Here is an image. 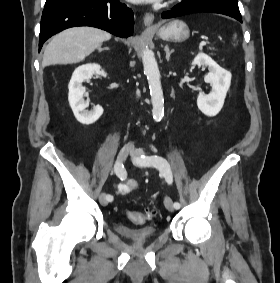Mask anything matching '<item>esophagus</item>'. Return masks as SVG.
Masks as SVG:
<instances>
[{"label": "esophagus", "instance_id": "1", "mask_svg": "<svg viewBox=\"0 0 280 283\" xmlns=\"http://www.w3.org/2000/svg\"><path fill=\"white\" fill-rule=\"evenodd\" d=\"M153 21H154V15L152 13H147L144 16V24L148 29H154V25H153Z\"/></svg>", "mask_w": 280, "mask_h": 283}]
</instances>
